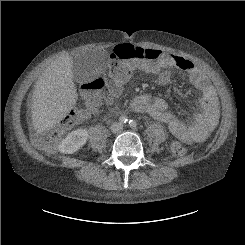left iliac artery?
Instances as JSON below:
<instances>
[{"instance_id":"obj_1","label":"left iliac artery","mask_w":245,"mask_h":245,"mask_svg":"<svg viewBox=\"0 0 245 245\" xmlns=\"http://www.w3.org/2000/svg\"><path fill=\"white\" fill-rule=\"evenodd\" d=\"M136 125H137V123H136L135 120H130V121H129V126H130V127L133 128V127H136Z\"/></svg>"}]
</instances>
